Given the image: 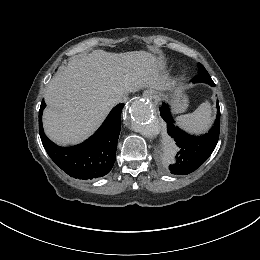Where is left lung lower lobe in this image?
<instances>
[{
	"instance_id": "0a47b994",
	"label": "left lung lower lobe",
	"mask_w": 260,
	"mask_h": 260,
	"mask_svg": "<svg viewBox=\"0 0 260 260\" xmlns=\"http://www.w3.org/2000/svg\"><path fill=\"white\" fill-rule=\"evenodd\" d=\"M217 109H219L218 102ZM160 114L167 123V133L178 147L176 161L169 166L171 173L187 175L195 171L207 160L216 147L220 133V112H217V118L212 129L202 136L189 135L177 127L168 104L162 105Z\"/></svg>"
}]
</instances>
